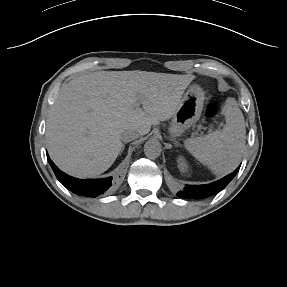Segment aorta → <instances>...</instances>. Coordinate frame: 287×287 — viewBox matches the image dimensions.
I'll list each match as a JSON object with an SVG mask.
<instances>
[{
	"instance_id": "762f6f07",
	"label": "aorta",
	"mask_w": 287,
	"mask_h": 287,
	"mask_svg": "<svg viewBox=\"0 0 287 287\" xmlns=\"http://www.w3.org/2000/svg\"><path fill=\"white\" fill-rule=\"evenodd\" d=\"M161 144L158 141H148L144 146V153L146 157L155 159L161 154Z\"/></svg>"
}]
</instances>
